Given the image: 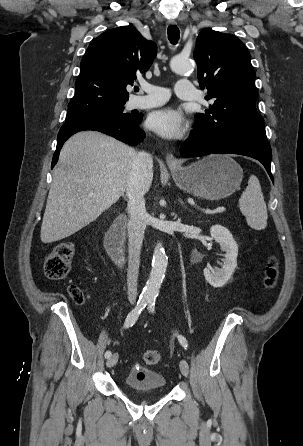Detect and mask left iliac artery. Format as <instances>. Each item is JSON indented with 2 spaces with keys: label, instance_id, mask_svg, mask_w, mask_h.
Returning <instances> with one entry per match:
<instances>
[{
  "label": "left iliac artery",
  "instance_id": "obj_1",
  "mask_svg": "<svg viewBox=\"0 0 303 446\" xmlns=\"http://www.w3.org/2000/svg\"><path fill=\"white\" fill-rule=\"evenodd\" d=\"M148 304L150 312L154 313L155 300H149ZM177 338L180 344L186 349L188 347L186 338L182 335H178Z\"/></svg>",
  "mask_w": 303,
  "mask_h": 446
}]
</instances>
